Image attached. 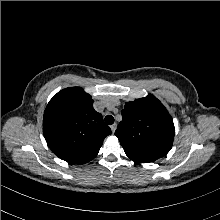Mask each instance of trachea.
Returning a JSON list of instances; mask_svg holds the SVG:
<instances>
[{
  "label": "trachea",
  "mask_w": 220,
  "mask_h": 220,
  "mask_svg": "<svg viewBox=\"0 0 220 220\" xmlns=\"http://www.w3.org/2000/svg\"><path fill=\"white\" fill-rule=\"evenodd\" d=\"M105 123L108 125H112L114 123V117L112 115H107L105 117Z\"/></svg>",
  "instance_id": "1"
}]
</instances>
